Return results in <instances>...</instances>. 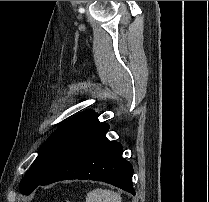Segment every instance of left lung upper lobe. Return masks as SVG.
I'll return each instance as SVG.
<instances>
[{
	"mask_svg": "<svg viewBox=\"0 0 209 202\" xmlns=\"http://www.w3.org/2000/svg\"><path fill=\"white\" fill-rule=\"evenodd\" d=\"M93 114L94 111H85L65 122L49 136L42 151L19 184V190L22 194L32 193L41 184L48 175L64 143Z\"/></svg>",
	"mask_w": 209,
	"mask_h": 202,
	"instance_id": "obj_1",
	"label": "left lung upper lobe"
}]
</instances>
